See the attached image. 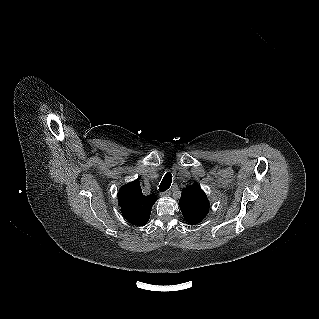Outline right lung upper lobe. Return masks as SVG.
I'll return each mask as SVG.
<instances>
[{
	"mask_svg": "<svg viewBox=\"0 0 319 319\" xmlns=\"http://www.w3.org/2000/svg\"><path fill=\"white\" fill-rule=\"evenodd\" d=\"M157 198L155 195L145 196L138 181H132L118 192V202L125 219L131 224L145 225L150 217L151 209Z\"/></svg>",
	"mask_w": 319,
	"mask_h": 319,
	"instance_id": "obj_1",
	"label": "right lung upper lobe"
}]
</instances>
